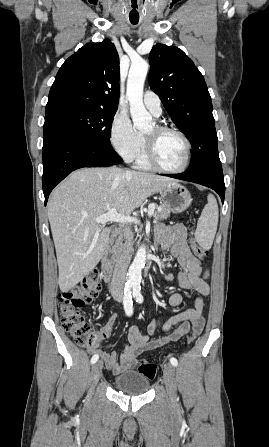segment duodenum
Segmentation results:
<instances>
[{
    "label": "duodenum",
    "instance_id": "410a0bca",
    "mask_svg": "<svg viewBox=\"0 0 269 447\" xmlns=\"http://www.w3.org/2000/svg\"><path fill=\"white\" fill-rule=\"evenodd\" d=\"M121 237L122 230H116L104 251L101 263V273L104 281L106 282H109L113 277L116 268V254ZM150 267L151 260H147L144 268L145 274L149 272Z\"/></svg>",
    "mask_w": 269,
    "mask_h": 447
}]
</instances>
